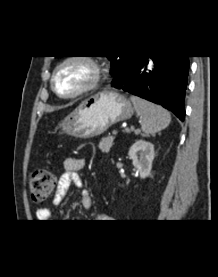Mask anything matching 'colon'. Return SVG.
<instances>
[{"label":"colon","mask_w":218,"mask_h":277,"mask_svg":"<svg viewBox=\"0 0 218 277\" xmlns=\"http://www.w3.org/2000/svg\"><path fill=\"white\" fill-rule=\"evenodd\" d=\"M55 176L46 169H39L30 175L29 185L31 198L35 202L46 200L55 187Z\"/></svg>","instance_id":"5ec220e1"}]
</instances>
